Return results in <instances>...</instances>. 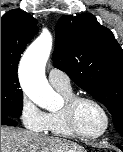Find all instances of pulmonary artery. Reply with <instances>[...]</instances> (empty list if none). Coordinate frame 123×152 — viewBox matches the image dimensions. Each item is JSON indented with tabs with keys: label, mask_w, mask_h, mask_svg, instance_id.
Wrapping results in <instances>:
<instances>
[{
	"label": "pulmonary artery",
	"mask_w": 123,
	"mask_h": 152,
	"mask_svg": "<svg viewBox=\"0 0 123 152\" xmlns=\"http://www.w3.org/2000/svg\"><path fill=\"white\" fill-rule=\"evenodd\" d=\"M48 80L56 89H71L69 76L57 68H51L48 72Z\"/></svg>",
	"instance_id": "pulmonary-artery-1"
}]
</instances>
